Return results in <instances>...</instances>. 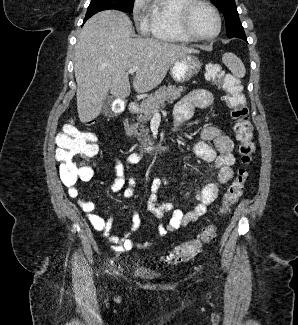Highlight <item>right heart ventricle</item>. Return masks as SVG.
<instances>
[{
  "mask_svg": "<svg viewBox=\"0 0 298 325\" xmlns=\"http://www.w3.org/2000/svg\"><path fill=\"white\" fill-rule=\"evenodd\" d=\"M185 0H158L149 3V21L158 34V41H179V45H187L192 41L175 30L174 21L176 7Z\"/></svg>",
  "mask_w": 298,
  "mask_h": 325,
  "instance_id": "e07e8e85",
  "label": "right heart ventricle"
}]
</instances>
